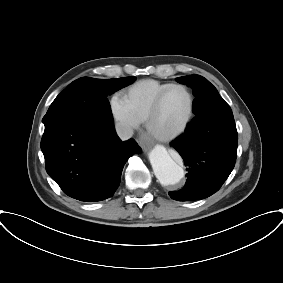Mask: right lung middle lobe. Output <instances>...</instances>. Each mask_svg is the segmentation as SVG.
Wrapping results in <instances>:
<instances>
[{
    "label": "right lung middle lobe",
    "instance_id": "dd1d6c3e",
    "mask_svg": "<svg viewBox=\"0 0 283 283\" xmlns=\"http://www.w3.org/2000/svg\"><path fill=\"white\" fill-rule=\"evenodd\" d=\"M134 80V76L118 79L79 78L55 98L42 121L46 125L65 117L89 119L95 116L113 121L106 97Z\"/></svg>",
    "mask_w": 283,
    "mask_h": 283
}]
</instances>
